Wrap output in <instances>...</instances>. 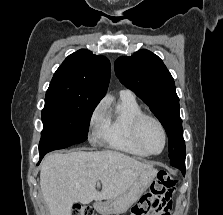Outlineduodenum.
<instances>
[{
  "label": "duodenum",
  "mask_w": 223,
  "mask_h": 215,
  "mask_svg": "<svg viewBox=\"0 0 223 215\" xmlns=\"http://www.w3.org/2000/svg\"><path fill=\"white\" fill-rule=\"evenodd\" d=\"M95 208L98 210V211H101L103 208H102V202H98L96 205H95Z\"/></svg>",
  "instance_id": "obj_1"
}]
</instances>
